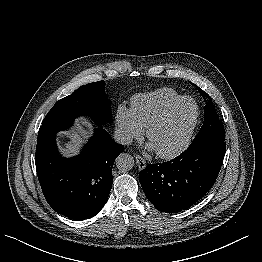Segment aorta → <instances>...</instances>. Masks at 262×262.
<instances>
[{
	"label": "aorta",
	"instance_id": "762f6f07",
	"mask_svg": "<svg viewBox=\"0 0 262 262\" xmlns=\"http://www.w3.org/2000/svg\"><path fill=\"white\" fill-rule=\"evenodd\" d=\"M116 166L121 171L131 170L134 166V158L130 154L122 153L116 159Z\"/></svg>",
	"mask_w": 262,
	"mask_h": 262
}]
</instances>
